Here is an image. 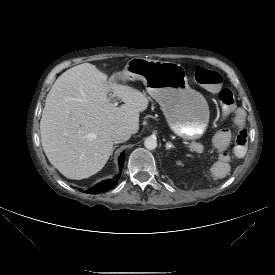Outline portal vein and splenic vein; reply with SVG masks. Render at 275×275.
I'll list each match as a JSON object with an SVG mask.
<instances>
[{"label":"portal vein and splenic vein","mask_w":275,"mask_h":275,"mask_svg":"<svg viewBox=\"0 0 275 275\" xmlns=\"http://www.w3.org/2000/svg\"><path fill=\"white\" fill-rule=\"evenodd\" d=\"M115 96V95H114ZM115 105H117V103H115ZM197 152L201 153L203 151V146L200 147H196L195 149Z\"/></svg>","instance_id":"obj_1"}]
</instances>
